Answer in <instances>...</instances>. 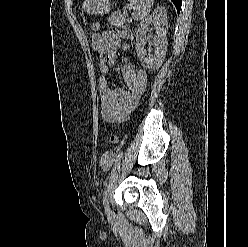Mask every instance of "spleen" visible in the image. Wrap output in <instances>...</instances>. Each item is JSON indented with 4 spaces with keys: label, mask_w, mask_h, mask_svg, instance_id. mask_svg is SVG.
I'll return each instance as SVG.
<instances>
[{
    "label": "spleen",
    "mask_w": 248,
    "mask_h": 247,
    "mask_svg": "<svg viewBox=\"0 0 248 247\" xmlns=\"http://www.w3.org/2000/svg\"><path fill=\"white\" fill-rule=\"evenodd\" d=\"M133 4L132 17L134 20H142L148 16L154 0H129Z\"/></svg>",
    "instance_id": "1"
}]
</instances>
